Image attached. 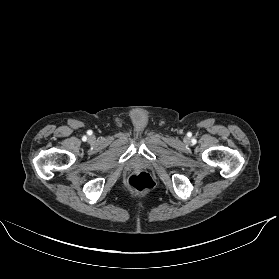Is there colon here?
Returning <instances> with one entry per match:
<instances>
[{"label":"colon","mask_w":279,"mask_h":279,"mask_svg":"<svg viewBox=\"0 0 279 279\" xmlns=\"http://www.w3.org/2000/svg\"><path fill=\"white\" fill-rule=\"evenodd\" d=\"M128 186L136 193H146L154 186L153 178L145 172L132 175L128 180Z\"/></svg>","instance_id":"5ec220e1"}]
</instances>
